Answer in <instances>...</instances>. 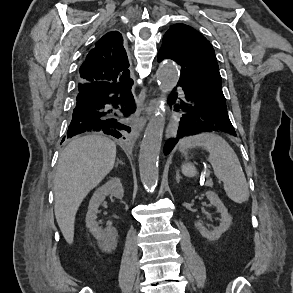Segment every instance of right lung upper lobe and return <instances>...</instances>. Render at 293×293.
I'll use <instances>...</instances> for the list:
<instances>
[{
	"instance_id": "1",
	"label": "right lung upper lobe",
	"mask_w": 293,
	"mask_h": 293,
	"mask_svg": "<svg viewBox=\"0 0 293 293\" xmlns=\"http://www.w3.org/2000/svg\"><path fill=\"white\" fill-rule=\"evenodd\" d=\"M128 67L122 35L117 31L108 32L96 43L80 67V82H123L130 79Z\"/></svg>"
}]
</instances>
